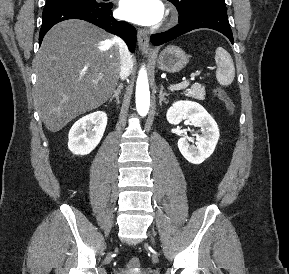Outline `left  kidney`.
Wrapping results in <instances>:
<instances>
[{
	"label": "left kidney",
	"mask_w": 289,
	"mask_h": 274,
	"mask_svg": "<svg viewBox=\"0 0 289 274\" xmlns=\"http://www.w3.org/2000/svg\"><path fill=\"white\" fill-rule=\"evenodd\" d=\"M166 118L174 125L187 119L192 125L201 128L202 134H197L196 146L190 145L187 138L178 140V148L186 160L201 164L211 156L219 139V129L215 120L199 103L177 101L167 110Z\"/></svg>",
	"instance_id": "5707ae66"
}]
</instances>
